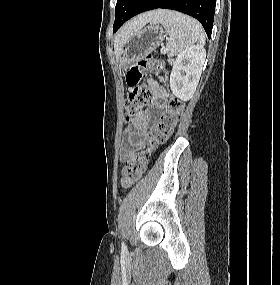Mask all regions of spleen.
Segmentation results:
<instances>
[{"instance_id":"spleen-1","label":"spleen","mask_w":280,"mask_h":285,"mask_svg":"<svg viewBox=\"0 0 280 285\" xmlns=\"http://www.w3.org/2000/svg\"><path fill=\"white\" fill-rule=\"evenodd\" d=\"M151 23L161 24L169 36L166 51L171 56L192 47L196 42L205 43V33L201 24L182 13L169 10H157Z\"/></svg>"}]
</instances>
